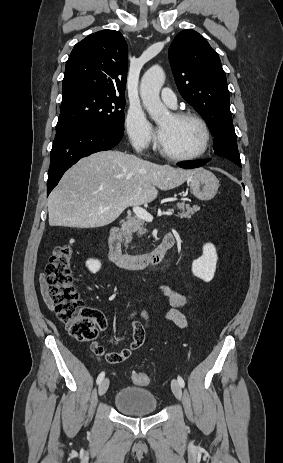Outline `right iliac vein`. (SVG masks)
Wrapping results in <instances>:
<instances>
[{
	"label": "right iliac vein",
	"mask_w": 283,
	"mask_h": 463,
	"mask_svg": "<svg viewBox=\"0 0 283 463\" xmlns=\"http://www.w3.org/2000/svg\"><path fill=\"white\" fill-rule=\"evenodd\" d=\"M108 387H109V379L105 378L99 384V388H98L99 396H103L106 393V391L108 390Z\"/></svg>",
	"instance_id": "63e3f726"
}]
</instances>
